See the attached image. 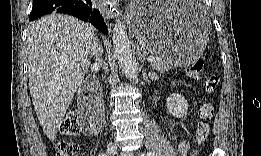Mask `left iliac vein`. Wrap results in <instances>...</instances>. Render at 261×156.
<instances>
[{
	"label": "left iliac vein",
	"instance_id": "left-iliac-vein-1",
	"mask_svg": "<svg viewBox=\"0 0 261 156\" xmlns=\"http://www.w3.org/2000/svg\"><path fill=\"white\" fill-rule=\"evenodd\" d=\"M121 155H122V156H132L133 154H132V153H125V152H122Z\"/></svg>",
	"mask_w": 261,
	"mask_h": 156
}]
</instances>
